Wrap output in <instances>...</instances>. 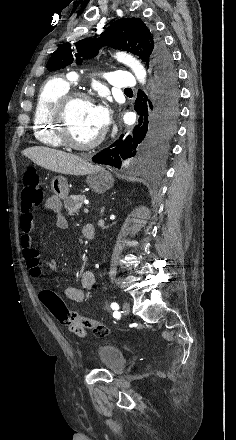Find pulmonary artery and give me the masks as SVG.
<instances>
[{"label": "pulmonary artery", "mask_w": 236, "mask_h": 440, "mask_svg": "<svg viewBox=\"0 0 236 440\" xmlns=\"http://www.w3.org/2000/svg\"><path fill=\"white\" fill-rule=\"evenodd\" d=\"M70 80L76 81L77 75L76 73L70 74ZM108 82L112 87L121 88V89H132L136 85L135 79L132 77V74L126 71H112L107 76Z\"/></svg>", "instance_id": "obj_1"}]
</instances>
